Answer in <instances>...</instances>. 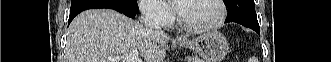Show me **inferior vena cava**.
<instances>
[{
  "label": "inferior vena cava",
  "mask_w": 331,
  "mask_h": 62,
  "mask_svg": "<svg viewBox=\"0 0 331 62\" xmlns=\"http://www.w3.org/2000/svg\"><path fill=\"white\" fill-rule=\"evenodd\" d=\"M144 26L152 32L158 34H164L161 27V21L159 14L154 9H148L145 12V17L143 19Z\"/></svg>",
  "instance_id": "602c4592"
}]
</instances>
